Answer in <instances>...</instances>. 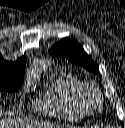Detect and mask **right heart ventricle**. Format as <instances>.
Returning <instances> with one entry per match:
<instances>
[{
    "mask_svg": "<svg viewBox=\"0 0 125 128\" xmlns=\"http://www.w3.org/2000/svg\"><path fill=\"white\" fill-rule=\"evenodd\" d=\"M84 85L72 75L58 74L43 90L36 107L49 115L80 120L91 112L84 100Z\"/></svg>",
    "mask_w": 125,
    "mask_h": 128,
    "instance_id": "e07e8e85",
    "label": "right heart ventricle"
}]
</instances>
